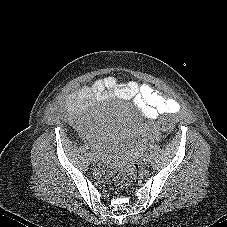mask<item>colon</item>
Masks as SVG:
<instances>
[{
  "instance_id": "1",
  "label": "colon",
  "mask_w": 227,
  "mask_h": 227,
  "mask_svg": "<svg viewBox=\"0 0 227 227\" xmlns=\"http://www.w3.org/2000/svg\"><path fill=\"white\" fill-rule=\"evenodd\" d=\"M175 123V117L172 114L163 116L158 121V128L161 131H170ZM138 164L135 160L124 162L118 169L111 172L113 185L121 190L127 189L137 175Z\"/></svg>"
}]
</instances>
